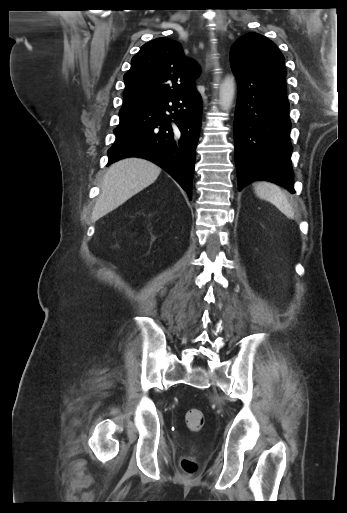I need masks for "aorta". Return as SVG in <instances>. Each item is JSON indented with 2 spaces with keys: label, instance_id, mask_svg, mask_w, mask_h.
I'll return each mask as SVG.
<instances>
[{
  "label": "aorta",
  "instance_id": "obj_1",
  "mask_svg": "<svg viewBox=\"0 0 347 513\" xmlns=\"http://www.w3.org/2000/svg\"><path fill=\"white\" fill-rule=\"evenodd\" d=\"M234 92V77L228 76L223 80L220 88V105L224 111H228L231 108L234 99Z\"/></svg>",
  "mask_w": 347,
  "mask_h": 513
}]
</instances>
